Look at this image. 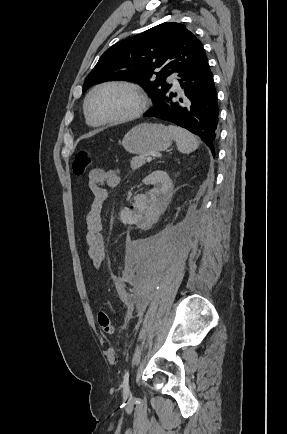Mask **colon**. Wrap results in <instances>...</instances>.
<instances>
[{
  "label": "colon",
  "instance_id": "colon-1",
  "mask_svg": "<svg viewBox=\"0 0 287 434\" xmlns=\"http://www.w3.org/2000/svg\"><path fill=\"white\" fill-rule=\"evenodd\" d=\"M90 154L86 150H82L75 154L72 162V170L75 175H83L90 165ZM99 326L104 334L112 335L115 331L114 322L111 316L105 312L100 311L97 315Z\"/></svg>",
  "mask_w": 287,
  "mask_h": 434
}]
</instances>
